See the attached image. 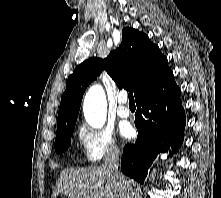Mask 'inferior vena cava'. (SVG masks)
<instances>
[{
    "label": "inferior vena cava",
    "instance_id": "inferior-vena-cava-1",
    "mask_svg": "<svg viewBox=\"0 0 221 198\" xmlns=\"http://www.w3.org/2000/svg\"><path fill=\"white\" fill-rule=\"evenodd\" d=\"M119 154L120 150L118 147H113L107 156L105 157V162L103 167L111 174L114 180L117 181V183L122 188V191L124 193V198H130L132 194V187L130 186L127 179L120 173L118 170L119 167Z\"/></svg>",
    "mask_w": 221,
    "mask_h": 198
}]
</instances>
